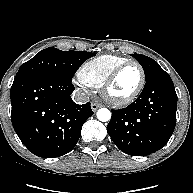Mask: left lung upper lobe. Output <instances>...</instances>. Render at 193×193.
Returning a JSON list of instances; mask_svg holds the SVG:
<instances>
[{"label": "left lung upper lobe", "mask_w": 193, "mask_h": 193, "mask_svg": "<svg viewBox=\"0 0 193 193\" xmlns=\"http://www.w3.org/2000/svg\"><path fill=\"white\" fill-rule=\"evenodd\" d=\"M136 60L139 61L144 69L145 79L150 78L155 72L162 69L159 64L153 59L142 54H131Z\"/></svg>", "instance_id": "left-lung-upper-lobe-1"}]
</instances>
